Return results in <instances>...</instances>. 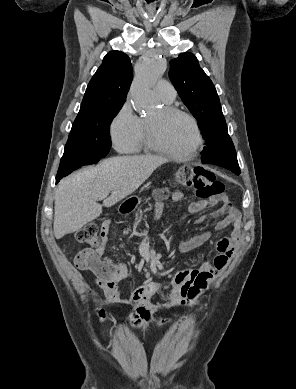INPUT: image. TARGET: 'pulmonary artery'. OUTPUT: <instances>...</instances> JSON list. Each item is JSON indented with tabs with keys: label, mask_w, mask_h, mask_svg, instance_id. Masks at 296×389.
Segmentation results:
<instances>
[{
	"label": "pulmonary artery",
	"mask_w": 296,
	"mask_h": 389,
	"mask_svg": "<svg viewBox=\"0 0 296 389\" xmlns=\"http://www.w3.org/2000/svg\"><path fill=\"white\" fill-rule=\"evenodd\" d=\"M154 89L159 97L167 103L172 102L176 97V90L174 86L167 80H159Z\"/></svg>",
	"instance_id": "1"
}]
</instances>
